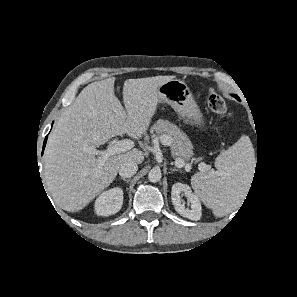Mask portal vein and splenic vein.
<instances>
[{"mask_svg":"<svg viewBox=\"0 0 297 297\" xmlns=\"http://www.w3.org/2000/svg\"><path fill=\"white\" fill-rule=\"evenodd\" d=\"M160 142L164 146H170V142L168 140L167 135H163L160 137ZM134 147V143L131 140H121L116 142L111 148L105 150V151H98L96 150V154H101V156L97 159L98 164L102 165L108 157L115 155V154H120L123 152H126ZM175 163L180 165L181 167L185 168V171L189 172L191 170V164L190 163H185L183 159H177L175 160ZM198 169L200 171H208L210 167L204 163H199L198 164Z\"/></svg>","mask_w":297,"mask_h":297,"instance_id":"obj_1","label":"portal vein and splenic vein"}]
</instances>
